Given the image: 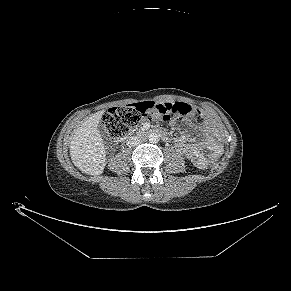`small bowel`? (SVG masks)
I'll use <instances>...</instances> for the list:
<instances>
[{"mask_svg":"<svg viewBox=\"0 0 291 291\" xmlns=\"http://www.w3.org/2000/svg\"><path fill=\"white\" fill-rule=\"evenodd\" d=\"M171 124L180 133V136L174 139L176 149L196 167L205 168L207 166L208 158L204 154V149L208 150L211 156L218 157L222 153L220 134L213 124L209 122L204 123L198 144H191L185 138V126H190V122L172 120Z\"/></svg>","mask_w":291,"mask_h":291,"instance_id":"obj_1","label":"small bowel"}]
</instances>
